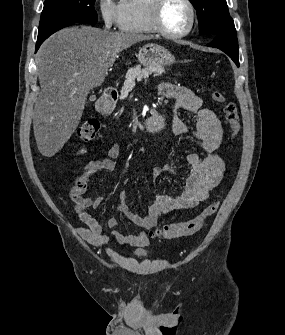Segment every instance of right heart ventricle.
<instances>
[{"instance_id":"1","label":"right heart ventricle","mask_w":285,"mask_h":335,"mask_svg":"<svg viewBox=\"0 0 285 335\" xmlns=\"http://www.w3.org/2000/svg\"><path fill=\"white\" fill-rule=\"evenodd\" d=\"M128 6L132 14L123 20L122 27L127 31L138 34H152L155 32L153 23V1H129Z\"/></svg>"}]
</instances>
